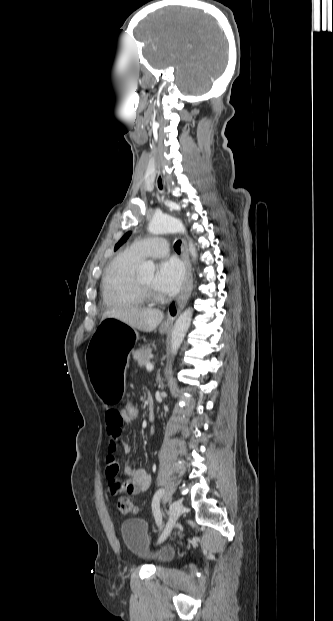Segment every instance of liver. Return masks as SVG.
Wrapping results in <instances>:
<instances>
[{
  "label": "liver",
  "instance_id": "6515ba94",
  "mask_svg": "<svg viewBox=\"0 0 333 621\" xmlns=\"http://www.w3.org/2000/svg\"><path fill=\"white\" fill-rule=\"evenodd\" d=\"M163 317V312L158 309L126 307L107 310L102 320L114 318L132 328L152 332L162 322Z\"/></svg>",
  "mask_w": 333,
  "mask_h": 621
}]
</instances>
